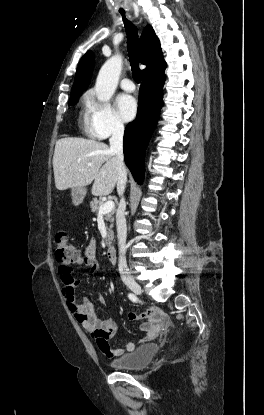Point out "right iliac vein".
Listing matches in <instances>:
<instances>
[{"instance_id": "obj_1", "label": "right iliac vein", "mask_w": 264, "mask_h": 415, "mask_svg": "<svg viewBox=\"0 0 264 415\" xmlns=\"http://www.w3.org/2000/svg\"><path fill=\"white\" fill-rule=\"evenodd\" d=\"M126 285L136 294L141 295L142 294V288L141 286L134 280H129L126 282Z\"/></svg>"}]
</instances>
